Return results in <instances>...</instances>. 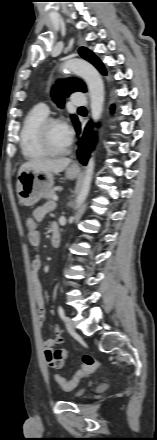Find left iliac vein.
<instances>
[{
  "label": "left iliac vein",
  "mask_w": 157,
  "mask_h": 440,
  "mask_svg": "<svg viewBox=\"0 0 157 440\" xmlns=\"http://www.w3.org/2000/svg\"><path fill=\"white\" fill-rule=\"evenodd\" d=\"M66 328L70 334H75L74 323L69 317H65Z\"/></svg>",
  "instance_id": "left-iliac-vein-1"
}]
</instances>
